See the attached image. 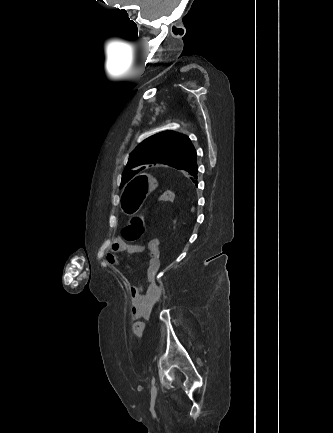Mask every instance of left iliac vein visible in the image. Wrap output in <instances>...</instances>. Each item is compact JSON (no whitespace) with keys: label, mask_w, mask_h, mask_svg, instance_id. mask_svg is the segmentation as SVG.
Wrapping results in <instances>:
<instances>
[{"label":"left iliac vein","mask_w":333,"mask_h":433,"mask_svg":"<svg viewBox=\"0 0 333 433\" xmlns=\"http://www.w3.org/2000/svg\"><path fill=\"white\" fill-rule=\"evenodd\" d=\"M151 393H152V395H156L157 394V388H156L155 385L152 386Z\"/></svg>","instance_id":"obj_1"}]
</instances>
